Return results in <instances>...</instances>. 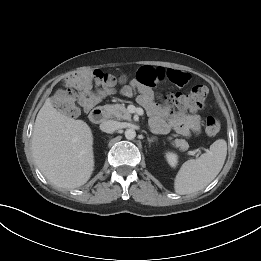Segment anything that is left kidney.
<instances>
[{
	"instance_id": "obj_1",
	"label": "left kidney",
	"mask_w": 261,
	"mask_h": 261,
	"mask_svg": "<svg viewBox=\"0 0 261 261\" xmlns=\"http://www.w3.org/2000/svg\"><path fill=\"white\" fill-rule=\"evenodd\" d=\"M166 160L168 164L173 168H175L178 164V156L173 152L166 153Z\"/></svg>"
}]
</instances>
